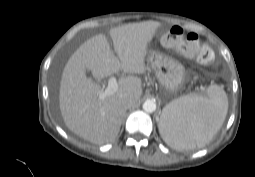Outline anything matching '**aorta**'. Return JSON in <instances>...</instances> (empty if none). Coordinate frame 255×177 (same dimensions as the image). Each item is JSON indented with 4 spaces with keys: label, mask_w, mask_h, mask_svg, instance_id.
Wrapping results in <instances>:
<instances>
[{
    "label": "aorta",
    "mask_w": 255,
    "mask_h": 177,
    "mask_svg": "<svg viewBox=\"0 0 255 177\" xmlns=\"http://www.w3.org/2000/svg\"><path fill=\"white\" fill-rule=\"evenodd\" d=\"M142 107L145 112L152 113L156 110V103L153 100H146Z\"/></svg>",
    "instance_id": "1"
}]
</instances>
